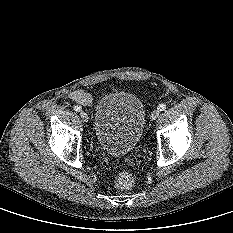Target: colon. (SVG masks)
<instances>
[{"label":"colon","mask_w":233,"mask_h":233,"mask_svg":"<svg viewBox=\"0 0 233 233\" xmlns=\"http://www.w3.org/2000/svg\"><path fill=\"white\" fill-rule=\"evenodd\" d=\"M133 182L132 175L126 171L118 173L115 177L116 187L122 190L129 189L133 185Z\"/></svg>","instance_id":"obj_1"}]
</instances>
